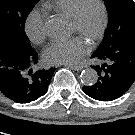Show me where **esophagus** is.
<instances>
[{
	"label": "esophagus",
	"mask_w": 135,
	"mask_h": 135,
	"mask_svg": "<svg viewBox=\"0 0 135 135\" xmlns=\"http://www.w3.org/2000/svg\"><path fill=\"white\" fill-rule=\"evenodd\" d=\"M66 68L75 70V71H79L83 69V66H72V65H64Z\"/></svg>",
	"instance_id": "34e87169"
}]
</instances>
